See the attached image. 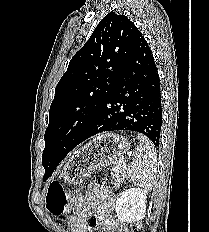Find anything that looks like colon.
Masks as SVG:
<instances>
[{
    "mask_svg": "<svg viewBox=\"0 0 209 232\" xmlns=\"http://www.w3.org/2000/svg\"><path fill=\"white\" fill-rule=\"evenodd\" d=\"M45 203L47 210L52 215H63L68 204V195L65 189L57 182L49 183L45 196Z\"/></svg>",
    "mask_w": 209,
    "mask_h": 232,
    "instance_id": "colon-1",
    "label": "colon"
}]
</instances>
